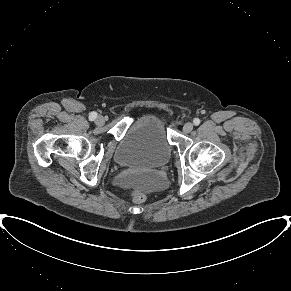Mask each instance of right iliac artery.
Returning <instances> with one entry per match:
<instances>
[{
    "instance_id": "obj_1",
    "label": "right iliac artery",
    "mask_w": 291,
    "mask_h": 291,
    "mask_svg": "<svg viewBox=\"0 0 291 291\" xmlns=\"http://www.w3.org/2000/svg\"><path fill=\"white\" fill-rule=\"evenodd\" d=\"M96 117H97V113L96 112H91L90 115H89V120L93 121Z\"/></svg>"
}]
</instances>
